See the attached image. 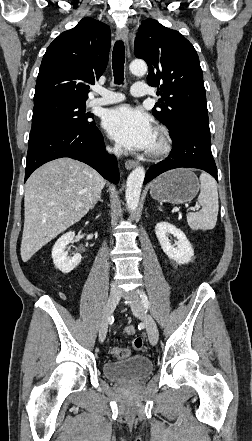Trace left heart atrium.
Here are the masks:
<instances>
[{"label": "left heart atrium", "mask_w": 252, "mask_h": 441, "mask_svg": "<svg viewBox=\"0 0 252 441\" xmlns=\"http://www.w3.org/2000/svg\"><path fill=\"white\" fill-rule=\"evenodd\" d=\"M103 126L112 139L128 150H150L156 139L150 117L129 105L109 110Z\"/></svg>", "instance_id": "39dd6f15"}]
</instances>
